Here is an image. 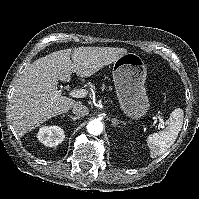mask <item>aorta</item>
Masks as SVG:
<instances>
[{"label": "aorta", "instance_id": "obj_1", "mask_svg": "<svg viewBox=\"0 0 199 199\" xmlns=\"http://www.w3.org/2000/svg\"><path fill=\"white\" fill-rule=\"evenodd\" d=\"M103 130V124L99 119L91 120L87 124V131L91 135H99Z\"/></svg>", "mask_w": 199, "mask_h": 199}]
</instances>
